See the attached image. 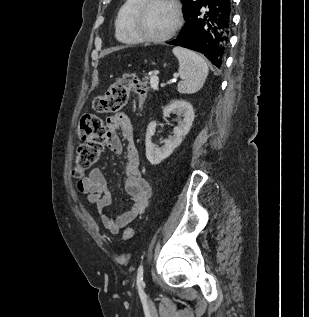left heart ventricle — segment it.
I'll list each match as a JSON object with an SVG mask.
<instances>
[{
	"instance_id": "b2bd125f",
	"label": "left heart ventricle",
	"mask_w": 309,
	"mask_h": 317,
	"mask_svg": "<svg viewBox=\"0 0 309 317\" xmlns=\"http://www.w3.org/2000/svg\"><path fill=\"white\" fill-rule=\"evenodd\" d=\"M174 23L173 8L166 3H155L144 13L139 28L146 35L158 37L169 32Z\"/></svg>"
}]
</instances>
